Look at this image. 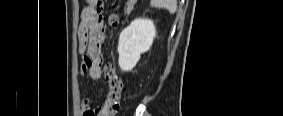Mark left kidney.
I'll use <instances>...</instances> for the list:
<instances>
[{"label": "left kidney", "instance_id": "5707ae66", "mask_svg": "<svg viewBox=\"0 0 283 116\" xmlns=\"http://www.w3.org/2000/svg\"><path fill=\"white\" fill-rule=\"evenodd\" d=\"M156 36V29L150 19L137 18L127 26L119 36V66L122 71H131L140 55L147 52Z\"/></svg>", "mask_w": 283, "mask_h": 116}]
</instances>
